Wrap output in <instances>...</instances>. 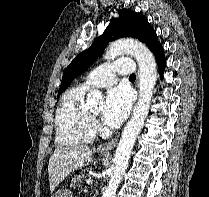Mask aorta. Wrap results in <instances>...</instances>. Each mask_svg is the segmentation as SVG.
I'll return each mask as SVG.
<instances>
[{"mask_svg": "<svg viewBox=\"0 0 209 197\" xmlns=\"http://www.w3.org/2000/svg\"><path fill=\"white\" fill-rule=\"evenodd\" d=\"M128 53L139 66V99L134 107L132 117L124 127L114 157V170L108 187L102 197H115L117 187L127 169L132 149L148 115L153 90L157 79L156 63L152 52L141 42L122 39L113 42L105 53V59H114ZM102 99V93L91 90L87 95L86 106L95 107Z\"/></svg>", "mask_w": 209, "mask_h": 197, "instance_id": "aorta-1", "label": "aorta"}]
</instances>
